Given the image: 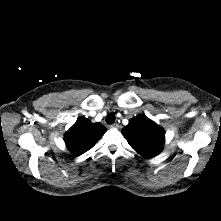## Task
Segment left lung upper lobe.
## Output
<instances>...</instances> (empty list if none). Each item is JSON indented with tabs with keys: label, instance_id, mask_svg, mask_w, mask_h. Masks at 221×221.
I'll list each match as a JSON object with an SVG mask.
<instances>
[{
	"label": "left lung upper lobe",
	"instance_id": "5c2ea615",
	"mask_svg": "<svg viewBox=\"0 0 221 221\" xmlns=\"http://www.w3.org/2000/svg\"><path fill=\"white\" fill-rule=\"evenodd\" d=\"M122 134L130 146L146 158L158 155L163 149L164 130L145 115L132 118L122 129Z\"/></svg>",
	"mask_w": 221,
	"mask_h": 221
}]
</instances>
